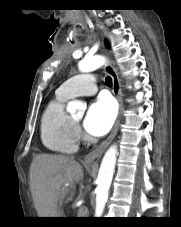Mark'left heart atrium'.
<instances>
[{
    "label": "left heart atrium",
    "mask_w": 181,
    "mask_h": 227,
    "mask_svg": "<svg viewBox=\"0 0 181 227\" xmlns=\"http://www.w3.org/2000/svg\"><path fill=\"white\" fill-rule=\"evenodd\" d=\"M115 116L114 102L107 97H100L89 106L84 119V128L91 135H105L112 127Z\"/></svg>",
    "instance_id": "obj_1"
}]
</instances>
